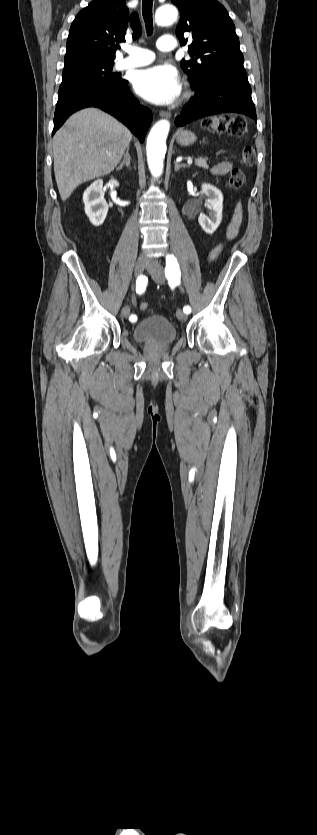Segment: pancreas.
<instances>
[{
	"label": "pancreas",
	"instance_id": "pancreas-1",
	"mask_svg": "<svg viewBox=\"0 0 317 835\" xmlns=\"http://www.w3.org/2000/svg\"><path fill=\"white\" fill-rule=\"evenodd\" d=\"M195 164H196L197 166H199V167L204 168V169H208V168H209V166H208V164H207L206 159H205V158H202V157L197 158V159L195 160Z\"/></svg>",
	"mask_w": 317,
	"mask_h": 835
}]
</instances>
